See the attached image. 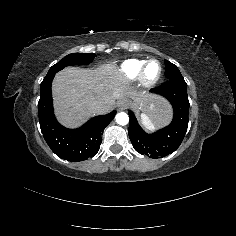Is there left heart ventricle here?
Returning <instances> with one entry per match:
<instances>
[{"label":"left heart ventricle","instance_id":"obj_1","mask_svg":"<svg viewBox=\"0 0 236 236\" xmlns=\"http://www.w3.org/2000/svg\"><path fill=\"white\" fill-rule=\"evenodd\" d=\"M161 71L160 64L156 61L151 62L147 68V78L152 80L159 76Z\"/></svg>","mask_w":236,"mask_h":236}]
</instances>
